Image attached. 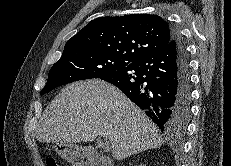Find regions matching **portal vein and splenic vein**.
Wrapping results in <instances>:
<instances>
[{"mask_svg":"<svg viewBox=\"0 0 231 166\" xmlns=\"http://www.w3.org/2000/svg\"><path fill=\"white\" fill-rule=\"evenodd\" d=\"M99 145L103 148L104 151H109L110 143L107 138L99 137L98 138Z\"/></svg>","mask_w":231,"mask_h":166,"instance_id":"obj_1","label":"portal vein and splenic vein"}]
</instances>
